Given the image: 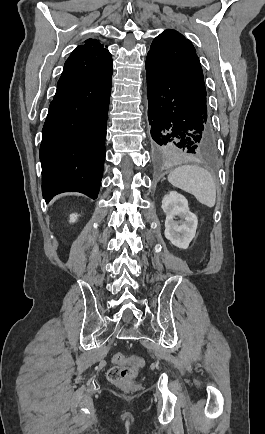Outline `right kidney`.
Segmentation results:
<instances>
[{"label":"right kidney","mask_w":265,"mask_h":434,"mask_svg":"<svg viewBox=\"0 0 265 434\" xmlns=\"http://www.w3.org/2000/svg\"><path fill=\"white\" fill-rule=\"evenodd\" d=\"M77 218H78L77 214H71L70 222H76Z\"/></svg>","instance_id":"1"}]
</instances>
